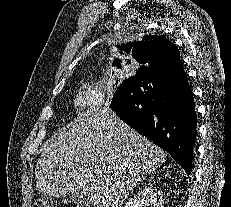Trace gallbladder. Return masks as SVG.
Instances as JSON below:
<instances>
[{
    "label": "gallbladder",
    "instance_id": "bac80fb5",
    "mask_svg": "<svg viewBox=\"0 0 231 207\" xmlns=\"http://www.w3.org/2000/svg\"><path fill=\"white\" fill-rule=\"evenodd\" d=\"M68 201L70 203L76 204L77 206H81V207H90L89 206V201L87 196L85 195L84 192L80 191V192H73L68 196Z\"/></svg>",
    "mask_w": 231,
    "mask_h": 207
}]
</instances>
